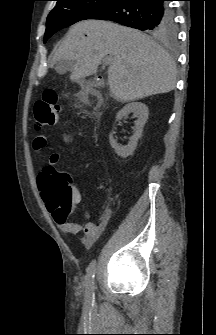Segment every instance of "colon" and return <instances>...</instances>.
Masks as SVG:
<instances>
[{
	"instance_id": "1",
	"label": "colon",
	"mask_w": 216,
	"mask_h": 335,
	"mask_svg": "<svg viewBox=\"0 0 216 335\" xmlns=\"http://www.w3.org/2000/svg\"><path fill=\"white\" fill-rule=\"evenodd\" d=\"M61 105L55 90L46 89L43 96L38 100L33 108L34 126L37 129H44L55 125ZM51 195L57 199L58 204L65 209L68 214L72 204L73 197L70 190V176L66 173L56 175L50 184Z\"/></svg>"
}]
</instances>
